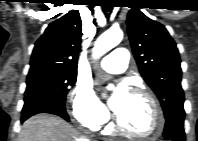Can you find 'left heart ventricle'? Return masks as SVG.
<instances>
[{"label": "left heart ventricle", "mask_w": 198, "mask_h": 141, "mask_svg": "<svg viewBox=\"0 0 198 141\" xmlns=\"http://www.w3.org/2000/svg\"><path fill=\"white\" fill-rule=\"evenodd\" d=\"M116 113L121 123L131 131L143 134L153 128L152 107L143 96L130 93Z\"/></svg>", "instance_id": "b2bd125f"}]
</instances>
